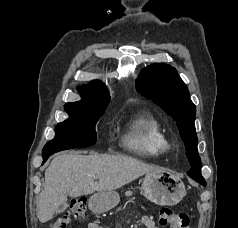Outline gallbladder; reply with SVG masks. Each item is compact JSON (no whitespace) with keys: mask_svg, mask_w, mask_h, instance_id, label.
I'll list each match as a JSON object with an SVG mask.
<instances>
[{"mask_svg":"<svg viewBox=\"0 0 238 228\" xmlns=\"http://www.w3.org/2000/svg\"><path fill=\"white\" fill-rule=\"evenodd\" d=\"M66 208H67V204L65 203V204L61 205V206L56 210V212H57V213H61V212H63Z\"/></svg>","mask_w":238,"mask_h":228,"instance_id":"obj_1","label":"gallbladder"}]
</instances>
